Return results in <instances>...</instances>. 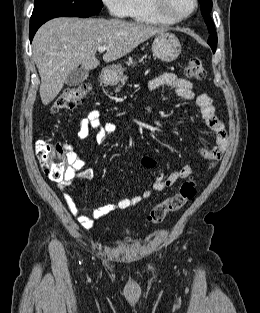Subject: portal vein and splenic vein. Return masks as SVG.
I'll use <instances>...</instances> for the list:
<instances>
[{
  "label": "portal vein and splenic vein",
  "mask_w": 260,
  "mask_h": 313,
  "mask_svg": "<svg viewBox=\"0 0 260 313\" xmlns=\"http://www.w3.org/2000/svg\"><path fill=\"white\" fill-rule=\"evenodd\" d=\"M107 49H108L107 46H99V47H98V51H99L100 53L104 52V51L107 50Z\"/></svg>",
  "instance_id": "obj_1"
}]
</instances>
